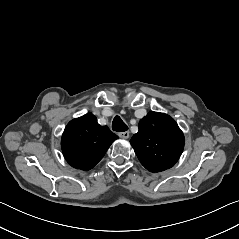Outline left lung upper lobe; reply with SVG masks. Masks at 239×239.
<instances>
[{
	"instance_id": "obj_1",
	"label": "left lung upper lobe",
	"mask_w": 239,
	"mask_h": 239,
	"mask_svg": "<svg viewBox=\"0 0 239 239\" xmlns=\"http://www.w3.org/2000/svg\"><path fill=\"white\" fill-rule=\"evenodd\" d=\"M184 135L173 118L149 112L139 122V131L130 140L142 165L151 172L171 168L184 148Z\"/></svg>"
}]
</instances>
